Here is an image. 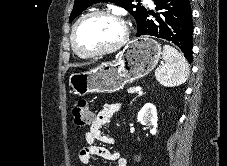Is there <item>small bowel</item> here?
Segmentation results:
<instances>
[{
    "mask_svg": "<svg viewBox=\"0 0 227 166\" xmlns=\"http://www.w3.org/2000/svg\"><path fill=\"white\" fill-rule=\"evenodd\" d=\"M119 109V104H104L97 114L94 115L90 129L84 135L85 147L79 154V160L84 166H90L93 156L115 161L117 166H127L126 160L118 153L97 145V142L105 144L113 143V139L104 134L102 128L109 124L111 118Z\"/></svg>",
    "mask_w": 227,
    "mask_h": 166,
    "instance_id": "c3829d8e",
    "label": "small bowel"
}]
</instances>
